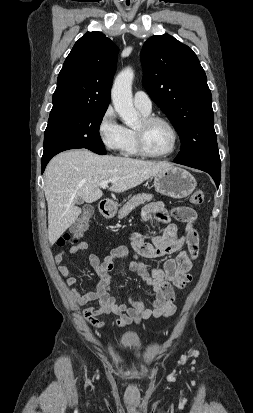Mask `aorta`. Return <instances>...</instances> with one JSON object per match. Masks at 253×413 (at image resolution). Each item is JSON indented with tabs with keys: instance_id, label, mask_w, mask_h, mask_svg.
Returning a JSON list of instances; mask_svg holds the SVG:
<instances>
[{
	"instance_id": "aorta-1",
	"label": "aorta",
	"mask_w": 253,
	"mask_h": 413,
	"mask_svg": "<svg viewBox=\"0 0 253 413\" xmlns=\"http://www.w3.org/2000/svg\"><path fill=\"white\" fill-rule=\"evenodd\" d=\"M134 71L131 67L122 70L113 83L111 98L115 111L127 126H134L138 122V112L133 106L132 82Z\"/></svg>"
}]
</instances>
